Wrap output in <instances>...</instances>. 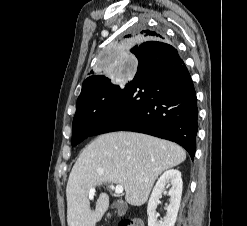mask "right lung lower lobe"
<instances>
[{
  "mask_svg": "<svg viewBox=\"0 0 247 226\" xmlns=\"http://www.w3.org/2000/svg\"><path fill=\"white\" fill-rule=\"evenodd\" d=\"M138 71L92 135L135 131L176 142L194 158L197 98L177 50L163 41H147L134 51Z\"/></svg>",
  "mask_w": 247,
  "mask_h": 226,
  "instance_id": "obj_1",
  "label": "right lung lower lobe"
}]
</instances>
